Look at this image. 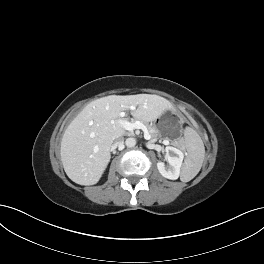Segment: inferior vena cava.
I'll return each instance as SVG.
<instances>
[{
  "label": "inferior vena cava",
  "mask_w": 264,
  "mask_h": 264,
  "mask_svg": "<svg viewBox=\"0 0 264 264\" xmlns=\"http://www.w3.org/2000/svg\"><path fill=\"white\" fill-rule=\"evenodd\" d=\"M113 148H119V149H123L124 148V139H123V137H117L116 139H115V142H114V144H113V146H112Z\"/></svg>",
  "instance_id": "1"
}]
</instances>
